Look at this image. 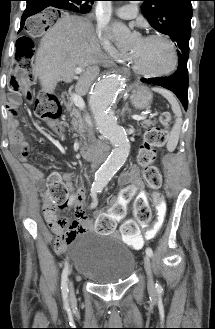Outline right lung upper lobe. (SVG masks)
<instances>
[{"label":"right lung upper lobe","mask_w":215,"mask_h":329,"mask_svg":"<svg viewBox=\"0 0 215 329\" xmlns=\"http://www.w3.org/2000/svg\"><path fill=\"white\" fill-rule=\"evenodd\" d=\"M45 1H49V3L45 4L44 8L49 7V6L55 7L59 2H65L67 0H45ZM86 1L93 3L95 0H86ZM53 2L55 3V5H53Z\"/></svg>","instance_id":"1"}]
</instances>
